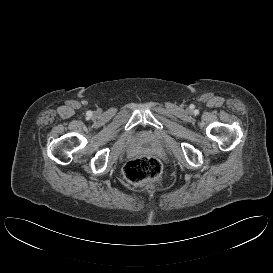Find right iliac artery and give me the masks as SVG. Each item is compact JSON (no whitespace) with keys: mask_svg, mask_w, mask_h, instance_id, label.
<instances>
[{"mask_svg":"<svg viewBox=\"0 0 273 273\" xmlns=\"http://www.w3.org/2000/svg\"><path fill=\"white\" fill-rule=\"evenodd\" d=\"M91 114H92L91 112L88 113V115H91Z\"/></svg>","mask_w":273,"mask_h":273,"instance_id":"obj_1","label":"right iliac artery"}]
</instances>
